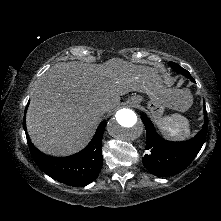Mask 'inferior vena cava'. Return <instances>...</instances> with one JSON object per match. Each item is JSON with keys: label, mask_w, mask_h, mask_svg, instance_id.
Instances as JSON below:
<instances>
[{"label": "inferior vena cava", "mask_w": 221, "mask_h": 221, "mask_svg": "<svg viewBox=\"0 0 221 221\" xmlns=\"http://www.w3.org/2000/svg\"><path fill=\"white\" fill-rule=\"evenodd\" d=\"M108 111V108L106 107V106H102L100 109H99V112L101 113V114H104V113H106Z\"/></svg>", "instance_id": "inferior-vena-cava-1"}]
</instances>
